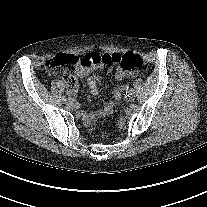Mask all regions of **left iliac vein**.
Returning <instances> with one entry per match:
<instances>
[{"mask_svg":"<svg viewBox=\"0 0 207 207\" xmlns=\"http://www.w3.org/2000/svg\"><path fill=\"white\" fill-rule=\"evenodd\" d=\"M134 100V95L133 96H127L126 97V101L128 102V103H131L132 101Z\"/></svg>","mask_w":207,"mask_h":207,"instance_id":"4c4485c4","label":"left iliac vein"}]
</instances>
